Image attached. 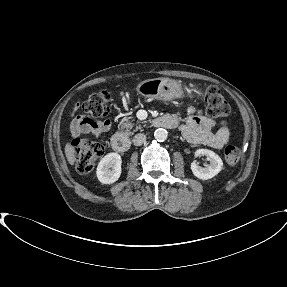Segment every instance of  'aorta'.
<instances>
[{
  "instance_id": "762f6f07",
  "label": "aorta",
  "mask_w": 287,
  "mask_h": 287,
  "mask_svg": "<svg viewBox=\"0 0 287 287\" xmlns=\"http://www.w3.org/2000/svg\"><path fill=\"white\" fill-rule=\"evenodd\" d=\"M154 137L157 141L163 142L167 139L168 137V132L166 129L163 128H158L154 132Z\"/></svg>"
}]
</instances>
